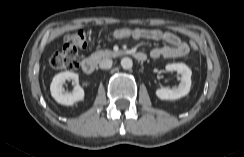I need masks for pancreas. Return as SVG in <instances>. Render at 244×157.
Segmentation results:
<instances>
[{
	"label": "pancreas",
	"mask_w": 244,
	"mask_h": 157,
	"mask_svg": "<svg viewBox=\"0 0 244 157\" xmlns=\"http://www.w3.org/2000/svg\"><path fill=\"white\" fill-rule=\"evenodd\" d=\"M119 53L113 52L111 50H99L91 55L96 61H100L103 58L116 57Z\"/></svg>",
	"instance_id": "cf45deb5"
}]
</instances>
